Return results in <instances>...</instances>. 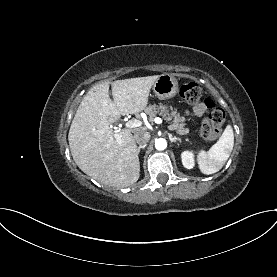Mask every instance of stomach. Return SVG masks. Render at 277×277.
Returning <instances> with one entry per match:
<instances>
[{"label":"stomach","instance_id":"1","mask_svg":"<svg viewBox=\"0 0 277 277\" xmlns=\"http://www.w3.org/2000/svg\"><path fill=\"white\" fill-rule=\"evenodd\" d=\"M155 95L160 99H169L178 93V81L170 74H162L153 85Z\"/></svg>","mask_w":277,"mask_h":277}]
</instances>
